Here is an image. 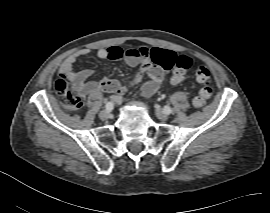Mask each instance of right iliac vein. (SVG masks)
Listing matches in <instances>:
<instances>
[{"label":"right iliac vein","mask_w":270,"mask_h":213,"mask_svg":"<svg viewBox=\"0 0 270 213\" xmlns=\"http://www.w3.org/2000/svg\"><path fill=\"white\" fill-rule=\"evenodd\" d=\"M99 117L101 120H108L109 118H111V112L107 109L105 110H102L100 113H99Z\"/></svg>","instance_id":"1"}]
</instances>
